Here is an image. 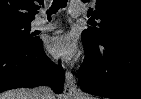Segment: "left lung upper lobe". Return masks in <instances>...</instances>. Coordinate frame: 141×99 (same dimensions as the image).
I'll return each instance as SVG.
<instances>
[{
    "label": "left lung upper lobe",
    "mask_w": 141,
    "mask_h": 99,
    "mask_svg": "<svg viewBox=\"0 0 141 99\" xmlns=\"http://www.w3.org/2000/svg\"><path fill=\"white\" fill-rule=\"evenodd\" d=\"M95 4L88 16L101 22L98 28L89 27L82 32L84 41L96 46L109 38L141 39L140 0H96Z\"/></svg>",
    "instance_id": "left-lung-upper-lobe-1"
}]
</instances>
